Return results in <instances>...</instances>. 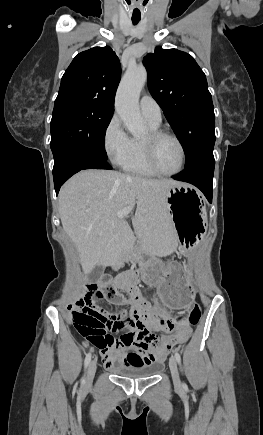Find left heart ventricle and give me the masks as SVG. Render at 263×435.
<instances>
[{"label": "left heart ventricle", "instance_id": "obj_1", "mask_svg": "<svg viewBox=\"0 0 263 435\" xmlns=\"http://www.w3.org/2000/svg\"><path fill=\"white\" fill-rule=\"evenodd\" d=\"M155 159L161 170L165 172L175 171L181 165V150L174 140L162 138L155 146Z\"/></svg>", "mask_w": 263, "mask_h": 435}]
</instances>
